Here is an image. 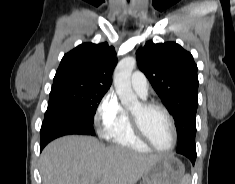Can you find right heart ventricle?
Listing matches in <instances>:
<instances>
[{"label": "right heart ventricle", "mask_w": 235, "mask_h": 184, "mask_svg": "<svg viewBox=\"0 0 235 184\" xmlns=\"http://www.w3.org/2000/svg\"><path fill=\"white\" fill-rule=\"evenodd\" d=\"M109 148L114 154H117L120 151H133L140 153H147L150 151V148L135 135L128 115L118 132L113 137Z\"/></svg>", "instance_id": "1"}]
</instances>
